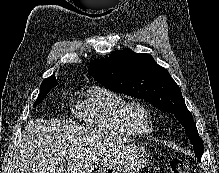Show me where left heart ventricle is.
<instances>
[{
    "label": "left heart ventricle",
    "mask_w": 219,
    "mask_h": 173,
    "mask_svg": "<svg viewBox=\"0 0 219 173\" xmlns=\"http://www.w3.org/2000/svg\"><path fill=\"white\" fill-rule=\"evenodd\" d=\"M134 116H135V119L137 120V122H139V123L145 122V114L142 110L136 109L134 111Z\"/></svg>",
    "instance_id": "obj_1"
}]
</instances>
